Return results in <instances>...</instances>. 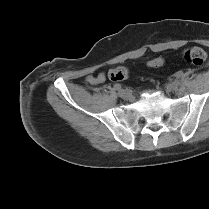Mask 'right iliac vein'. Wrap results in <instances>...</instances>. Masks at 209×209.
<instances>
[{
  "instance_id": "right-iliac-vein-1",
  "label": "right iliac vein",
  "mask_w": 209,
  "mask_h": 209,
  "mask_svg": "<svg viewBox=\"0 0 209 209\" xmlns=\"http://www.w3.org/2000/svg\"><path fill=\"white\" fill-rule=\"evenodd\" d=\"M118 96L121 97V98H128L129 97V94L125 91V90H119L118 91Z\"/></svg>"
}]
</instances>
